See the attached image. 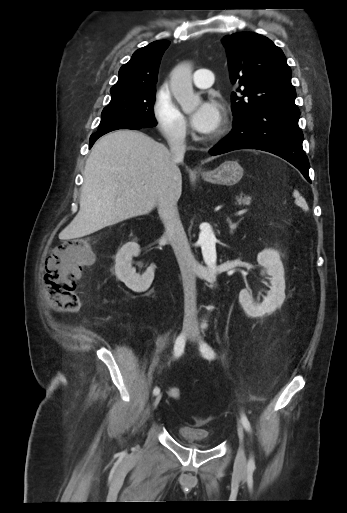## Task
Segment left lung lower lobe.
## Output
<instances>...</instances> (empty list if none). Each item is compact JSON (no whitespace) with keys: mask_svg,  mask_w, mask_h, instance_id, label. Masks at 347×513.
Returning <instances> with one entry per match:
<instances>
[{"mask_svg":"<svg viewBox=\"0 0 347 513\" xmlns=\"http://www.w3.org/2000/svg\"><path fill=\"white\" fill-rule=\"evenodd\" d=\"M297 106H267L252 111L233 123L230 134L209 153L218 155L237 149H258L273 153L293 164L309 178V162L302 148Z\"/></svg>","mask_w":347,"mask_h":513,"instance_id":"obj_1","label":"left lung lower lobe"}]
</instances>
